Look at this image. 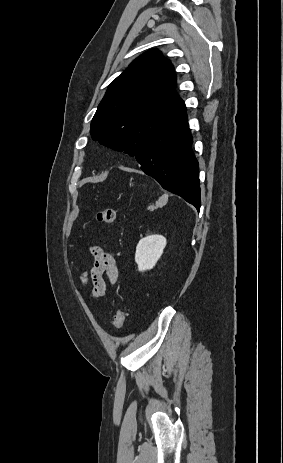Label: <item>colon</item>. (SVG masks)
<instances>
[{
	"mask_svg": "<svg viewBox=\"0 0 283 463\" xmlns=\"http://www.w3.org/2000/svg\"><path fill=\"white\" fill-rule=\"evenodd\" d=\"M95 218L99 223L106 224V225H113L116 223L117 213L112 208H106V209L99 210L96 213ZM125 319H126L125 310L124 308L119 307L113 319V327L116 330H120L124 325Z\"/></svg>",
	"mask_w": 283,
	"mask_h": 463,
	"instance_id": "1",
	"label": "colon"
}]
</instances>
